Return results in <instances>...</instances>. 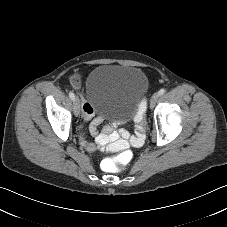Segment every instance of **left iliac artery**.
<instances>
[{"instance_id": "left-iliac-artery-1", "label": "left iliac artery", "mask_w": 227, "mask_h": 227, "mask_svg": "<svg viewBox=\"0 0 227 227\" xmlns=\"http://www.w3.org/2000/svg\"><path fill=\"white\" fill-rule=\"evenodd\" d=\"M165 93V89H161L160 91H159V95H163Z\"/></svg>"}]
</instances>
